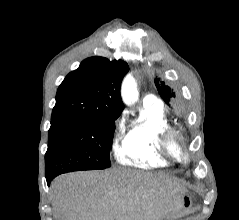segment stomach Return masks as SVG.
<instances>
[{"label": "stomach", "instance_id": "0dacf381", "mask_svg": "<svg viewBox=\"0 0 239 220\" xmlns=\"http://www.w3.org/2000/svg\"><path fill=\"white\" fill-rule=\"evenodd\" d=\"M191 207V198L187 195L184 194L181 196V208L184 210H187Z\"/></svg>", "mask_w": 239, "mask_h": 220}]
</instances>
